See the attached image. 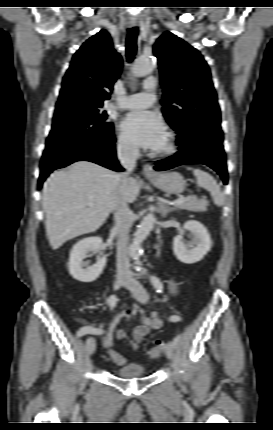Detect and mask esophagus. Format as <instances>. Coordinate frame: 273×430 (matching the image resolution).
<instances>
[{
	"mask_svg": "<svg viewBox=\"0 0 273 430\" xmlns=\"http://www.w3.org/2000/svg\"><path fill=\"white\" fill-rule=\"evenodd\" d=\"M129 26L130 27H135V26H138V23L134 22V21H131L129 23ZM142 171H143V174L146 175V176H154L156 174L155 171H154V169H153V167H152V165L149 164V163H145L143 165Z\"/></svg>",
	"mask_w": 273,
	"mask_h": 430,
	"instance_id": "34e87169",
	"label": "esophagus"
}]
</instances>
